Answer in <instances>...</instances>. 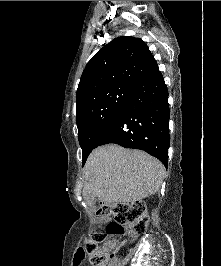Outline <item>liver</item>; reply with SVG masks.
<instances>
[{
	"label": "liver",
	"instance_id": "1",
	"mask_svg": "<svg viewBox=\"0 0 221 266\" xmlns=\"http://www.w3.org/2000/svg\"><path fill=\"white\" fill-rule=\"evenodd\" d=\"M164 176L165 168L156 158L109 144L89 155L84 167L83 195L105 203H134L155 194Z\"/></svg>",
	"mask_w": 221,
	"mask_h": 266
}]
</instances>
